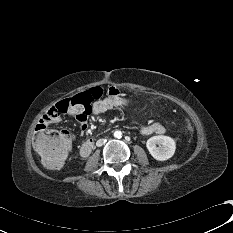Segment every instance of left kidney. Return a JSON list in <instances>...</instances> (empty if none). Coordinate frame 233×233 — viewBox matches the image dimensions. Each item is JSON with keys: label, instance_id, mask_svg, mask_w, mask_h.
<instances>
[{"label": "left kidney", "instance_id": "left-kidney-1", "mask_svg": "<svg viewBox=\"0 0 233 233\" xmlns=\"http://www.w3.org/2000/svg\"><path fill=\"white\" fill-rule=\"evenodd\" d=\"M146 147L154 159L165 161L174 155L176 143L174 139L169 136L157 135L147 140Z\"/></svg>", "mask_w": 233, "mask_h": 233}]
</instances>
